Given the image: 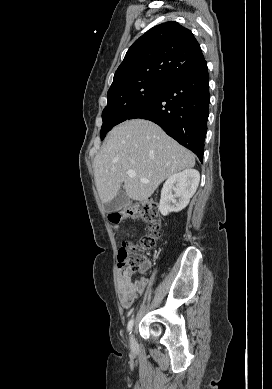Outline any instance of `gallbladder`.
Returning a JSON list of instances; mask_svg holds the SVG:
<instances>
[{
    "label": "gallbladder",
    "mask_w": 272,
    "mask_h": 389,
    "mask_svg": "<svg viewBox=\"0 0 272 389\" xmlns=\"http://www.w3.org/2000/svg\"><path fill=\"white\" fill-rule=\"evenodd\" d=\"M130 198L126 194L124 188H121L117 195L108 203H105V209L107 212H117L124 209L129 203Z\"/></svg>",
    "instance_id": "bac80fb5"
}]
</instances>
